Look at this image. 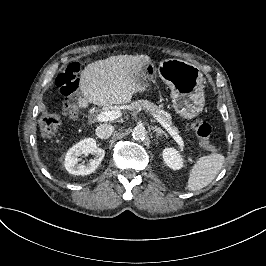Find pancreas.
<instances>
[{
    "label": "pancreas",
    "instance_id": "pancreas-1",
    "mask_svg": "<svg viewBox=\"0 0 266 266\" xmlns=\"http://www.w3.org/2000/svg\"><path fill=\"white\" fill-rule=\"evenodd\" d=\"M134 106L139 108V109H142L146 113L152 114L153 116L156 117V119L159 122H163V121H166L167 123L172 122V120L170 119V113H168L165 110H162L161 108L155 106L154 104L150 103L149 101H146V100L138 101V102H135ZM173 130L176 133H179L178 129L173 128Z\"/></svg>",
    "mask_w": 266,
    "mask_h": 266
}]
</instances>
